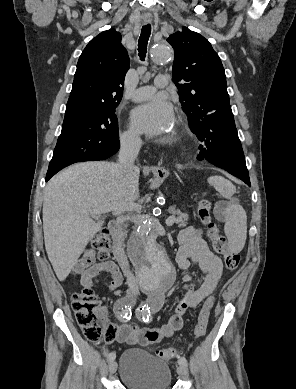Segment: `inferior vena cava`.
Returning <instances> with one entry per match:
<instances>
[{"instance_id":"1","label":"inferior vena cava","mask_w":296,"mask_h":389,"mask_svg":"<svg viewBox=\"0 0 296 389\" xmlns=\"http://www.w3.org/2000/svg\"><path fill=\"white\" fill-rule=\"evenodd\" d=\"M142 141L137 134L129 133L121 137V147L119 152V166L125 175H135L138 173L134 166L135 158L138 156ZM127 284L133 295L138 293V283L133 274L127 276Z\"/></svg>"}]
</instances>
